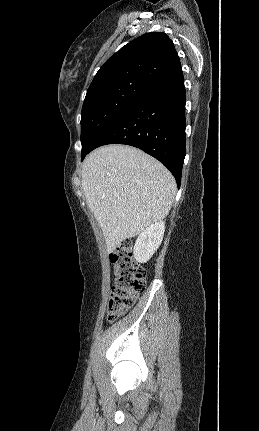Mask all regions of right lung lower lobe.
<instances>
[{
  "label": "right lung lower lobe",
  "instance_id": "right-lung-lower-lobe-1",
  "mask_svg": "<svg viewBox=\"0 0 259 431\" xmlns=\"http://www.w3.org/2000/svg\"><path fill=\"white\" fill-rule=\"evenodd\" d=\"M185 103L183 74L150 88L100 134L86 155L106 144L140 148L164 164L179 187L186 154Z\"/></svg>",
  "mask_w": 259,
  "mask_h": 431
}]
</instances>
